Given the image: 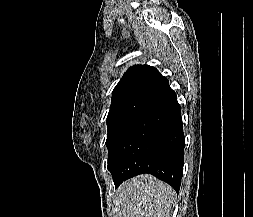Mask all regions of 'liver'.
Segmentation results:
<instances>
[{
	"instance_id": "liver-1",
	"label": "liver",
	"mask_w": 253,
	"mask_h": 217,
	"mask_svg": "<svg viewBox=\"0 0 253 217\" xmlns=\"http://www.w3.org/2000/svg\"><path fill=\"white\" fill-rule=\"evenodd\" d=\"M122 217H170L175 191L152 175L124 182L117 191Z\"/></svg>"
}]
</instances>
